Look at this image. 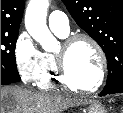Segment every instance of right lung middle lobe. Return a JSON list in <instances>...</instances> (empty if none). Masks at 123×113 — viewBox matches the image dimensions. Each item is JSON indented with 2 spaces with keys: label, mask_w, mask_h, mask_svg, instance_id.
Masks as SVG:
<instances>
[{
  "label": "right lung middle lobe",
  "mask_w": 123,
  "mask_h": 113,
  "mask_svg": "<svg viewBox=\"0 0 123 113\" xmlns=\"http://www.w3.org/2000/svg\"><path fill=\"white\" fill-rule=\"evenodd\" d=\"M18 33H1V85H8L21 80L15 60Z\"/></svg>",
  "instance_id": "dd1d6c3e"
}]
</instances>
